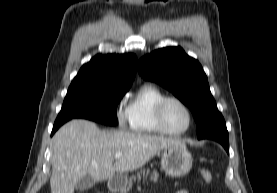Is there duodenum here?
<instances>
[{
  "label": "duodenum",
  "mask_w": 277,
  "mask_h": 193,
  "mask_svg": "<svg viewBox=\"0 0 277 193\" xmlns=\"http://www.w3.org/2000/svg\"><path fill=\"white\" fill-rule=\"evenodd\" d=\"M121 182L117 179H112L109 182V187L112 191H118L121 187Z\"/></svg>",
  "instance_id": "obj_1"
}]
</instances>
